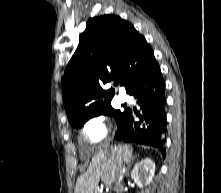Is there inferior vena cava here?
I'll return each mask as SVG.
<instances>
[{"instance_id":"1","label":"inferior vena cava","mask_w":221,"mask_h":193,"mask_svg":"<svg viewBox=\"0 0 221 193\" xmlns=\"http://www.w3.org/2000/svg\"><path fill=\"white\" fill-rule=\"evenodd\" d=\"M124 174H125V165L120 163L117 168V175L114 186L115 191H118L120 189Z\"/></svg>"}]
</instances>
